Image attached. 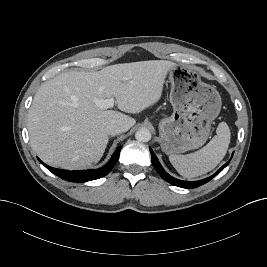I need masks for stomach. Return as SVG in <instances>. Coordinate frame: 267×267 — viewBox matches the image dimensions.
Masks as SVG:
<instances>
[{"label":"stomach","mask_w":267,"mask_h":267,"mask_svg":"<svg viewBox=\"0 0 267 267\" xmlns=\"http://www.w3.org/2000/svg\"><path fill=\"white\" fill-rule=\"evenodd\" d=\"M167 74L173 113L160 120L159 138L166 154L177 155L205 144L222 103L216 88L195 69L173 64Z\"/></svg>","instance_id":"stomach-1"}]
</instances>
